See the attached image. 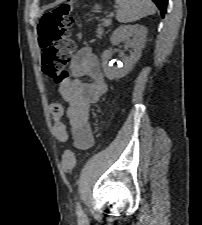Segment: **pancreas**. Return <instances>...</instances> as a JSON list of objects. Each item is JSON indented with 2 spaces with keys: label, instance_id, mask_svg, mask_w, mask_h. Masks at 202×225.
Wrapping results in <instances>:
<instances>
[{
  "label": "pancreas",
  "instance_id": "cf45deb5",
  "mask_svg": "<svg viewBox=\"0 0 202 225\" xmlns=\"http://www.w3.org/2000/svg\"><path fill=\"white\" fill-rule=\"evenodd\" d=\"M109 25H110V24H108V23L106 22V20L103 19V26H104V27H107V26H109ZM96 33H97V37H101L102 34L104 33V28H103V27L97 28Z\"/></svg>",
  "mask_w": 202,
  "mask_h": 225
}]
</instances>
